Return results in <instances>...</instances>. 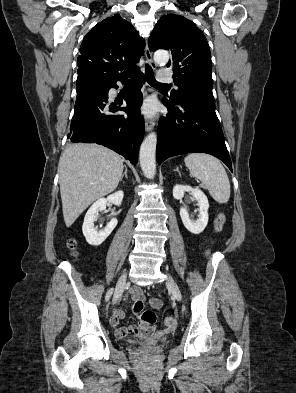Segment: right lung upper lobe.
Returning a JSON list of instances; mask_svg holds the SVG:
<instances>
[{
	"label": "right lung upper lobe",
	"mask_w": 296,
	"mask_h": 393,
	"mask_svg": "<svg viewBox=\"0 0 296 393\" xmlns=\"http://www.w3.org/2000/svg\"><path fill=\"white\" fill-rule=\"evenodd\" d=\"M144 47L145 41L135 28L116 14L98 23L84 37L78 71H91L106 81L127 78L139 71L136 63Z\"/></svg>",
	"instance_id": "1"
}]
</instances>
